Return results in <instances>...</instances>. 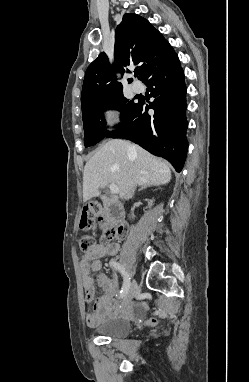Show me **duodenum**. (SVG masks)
Segmentation results:
<instances>
[{"label": "duodenum", "mask_w": 249, "mask_h": 382, "mask_svg": "<svg viewBox=\"0 0 249 382\" xmlns=\"http://www.w3.org/2000/svg\"><path fill=\"white\" fill-rule=\"evenodd\" d=\"M103 199L108 218L114 222H120L123 218V209L121 205L112 197L104 196Z\"/></svg>", "instance_id": "410a0bca"}]
</instances>
